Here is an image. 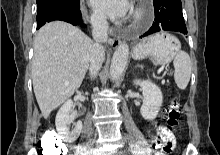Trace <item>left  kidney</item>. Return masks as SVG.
I'll list each match as a JSON object with an SVG mask.
<instances>
[{"label":"left kidney","mask_w":220,"mask_h":155,"mask_svg":"<svg viewBox=\"0 0 220 155\" xmlns=\"http://www.w3.org/2000/svg\"><path fill=\"white\" fill-rule=\"evenodd\" d=\"M135 85L142 88L143 105L140 113L145 120L155 119L160 111L163 96L160 88L149 80H134Z\"/></svg>","instance_id":"left-kidney-1"}]
</instances>
